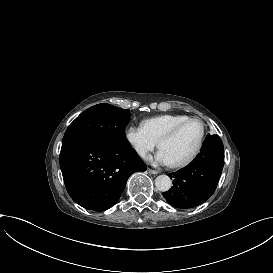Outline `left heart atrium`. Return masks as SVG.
<instances>
[{
  "mask_svg": "<svg viewBox=\"0 0 273 273\" xmlns=\"http://www.w3.org/2000/svg\"><path fill=\"white\" fill-rule=\"evenodd\" d=\"M150 162L163 165H170L172 162L164 149H161L155 156L151 157Z\"/></svg>",
  "mask_w": 273,
  "mask_h": 273,
  "instance_id": "1",
  "label": "left heart atrium"
}]
</instances>
